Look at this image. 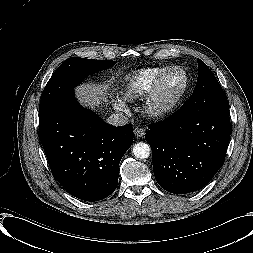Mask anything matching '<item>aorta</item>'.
Segmentation results:
<instances>
[{
	"label": "aorta",
	"instance_id": "762f6f07",
	"mask_svg": "<svg viewBox=\"0 0 253 253\" xmlns=\"http://www.w3.org/2000/svg\"><path fill=\"white\" fill-rule=\"evenodd\" d=\"M151 148L147 143L139 142L133 147V155L139 159H146L150 156Z\"/></svg>",
	"mask_w": 253,
	"mask_h": 253
}]
</instances>
